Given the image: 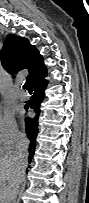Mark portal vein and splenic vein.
<instances>
[{
    "mask_svg": "<svg viewBox=\"0 0 89 203\" xmlns=\"http://www.w3.org/2000/svg\"><path fill=\"white\" fill-rule=\"evenodd\" d=\"M0 203H7V202H5V201H1Z\"/></svg>",
    "mask_w": 89,
    "mask_h": 203,
    "instance_id": "portal-vein-and-splenic-vein-1",
    "label": "portal vein and splenic vein"
}]
</instances>
